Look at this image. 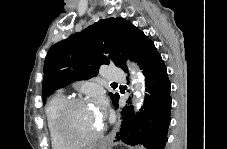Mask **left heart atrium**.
<instances>
[{
	"label": "left heart atrium",
	"instance_id": "obj_1",
	"mask_svg": "<svg viewBox=\"0 0 227 149\" xmlns=\"http://www.w3.org/2000/svg\"><path fill=\"white\" fill-rule=\"evenodd\" d=\"M97 105L100 109H103L104 107V100L102 98L98 99Z\"/></svg>",
	"mask_w": 227,
	"mask_h": 149
}]
</instances>
